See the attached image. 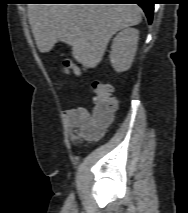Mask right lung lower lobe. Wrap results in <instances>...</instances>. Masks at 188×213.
I'll return each instance as SVG.
<instances>
[{"mask_svg":"<svg viewBox=\"0 0 188 213\" xmlns=\"http://www.w3.org/2000/svg\"><path fill=\"white\" fill-rule=\"evenodd\" d=\"M156 0H70L75 3H135L141 6L148 18L152 22L154 3Z\"/></svg>","mask_w":188,"mask_h":213,"instance_id":"right-lung-lower-lobe-1","label":"right lung lower lobe"}]
</instances>
